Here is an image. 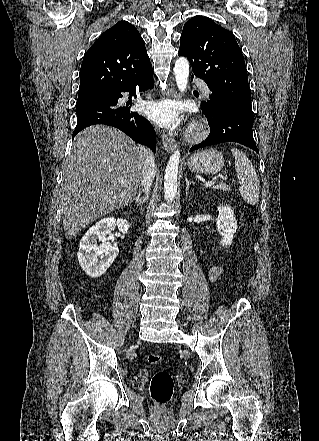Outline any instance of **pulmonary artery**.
<instances>
[{
  "label": "pulmonary artery",
  "mask_w": 319,
  "mask_h": 441,
  "mask_svg": "<svg viewBox=\"0 0 319 441\" xmlns=\"http://www.w3.org/2000/svg\"><path fill=\"white\" fill-rule=\"evenodd\" d=\"M195 83L200 87L202 93L205 96L208 97L210 95L211 91H210L209 87L206 85V83L203 80L196 79Z\"/></svg>",
  "instance_id": "1"
}]
</instances>
